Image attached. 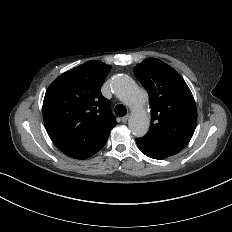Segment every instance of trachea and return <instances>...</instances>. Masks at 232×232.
Instances as JSON below:
<instances>
[{"label": "trachea", "instance_id": "3493384b", "mask_svg": "<svg viewBox=\"0 0 232 232\" xmlns=\"http://www.w3.org/2000/svg\"><path fill=\"white\" fill-rule=\"evenodd\" d=\"M115 113L120 117L125 116L127 114L126 107L122 104L116 105L115 106Z\"/></svg>", "mask_w": 232, "mask_h": 232}]
</instances>
